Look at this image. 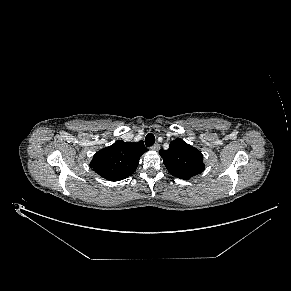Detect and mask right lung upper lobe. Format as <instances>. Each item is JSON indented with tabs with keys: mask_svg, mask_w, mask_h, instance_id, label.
Returning a JSON list of instances; mask_svg holds the SVG:
<instances>
[{
	"mask_svg": "<svg viewBox=\"0 0 291 291\" xmlns=\"http://www.w3.org/2000/svg\"><path fill=\"white\" fill-rule=\"evenodd\" d=\"M146 151L143 141L131 143L117 140L113 145L98 151L90 167L109 181H119L135 172L140 157Z\"/></svg>",
	"mask_w": 291,
	"mask_h": 291,
	"instance_id": "cb5924a9",
	"label": "right lung upper lobe"
}]
</instances>
